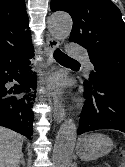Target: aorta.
Wrapping results in <instances>:
<instances>
[{
    "label": "aorta",
    "instance_id": "762f6f07",
    "mask_svg": "<svg viewBox=\"0 0 125 167\" xmlns=\"http://www.w3.org/2000/svg\"><path fill=\"white\" fill-rule=\"evenodd\" d=\"M48 29L54 38L63 40L70 35L72 19L66 13L56 12L48 19ZM76 136L77 126L73 119L65 120L57 133L53 149L54 167H68L75 147Z\"/></svg>",
    "mask_w": 125,
    "mask_h": 167
}]
</instances>
